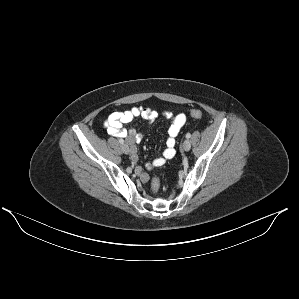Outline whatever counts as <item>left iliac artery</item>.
Returning a JSON list of instances; mask_svg holds the SVG:
<instances>
[{
	"label": "left iliac artery",
	"instance_id": "left-iliac-artery-1",
	"mask_svg": "<svg viewBox=\"0 0 299 299\" xmlns=\"http://www.w3.org/2000/svg\"><path fill=\"white\" fill-rule=\"evenodd\" d=\"M191 137V134L190 133H187L186 134V138H190Z\"/></svg>",
	"mask_w": 299,
	"mask_h": 299
}]
</instances>
